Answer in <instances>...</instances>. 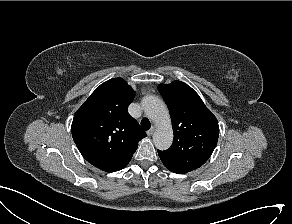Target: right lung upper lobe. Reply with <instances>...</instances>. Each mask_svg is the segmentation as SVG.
Listing matches in <instances>:
<instances>
[{"label": "right lung upper lobe", "mask_w": 292, "mask_h": 224, "mask_svg": "<svg viewBox=\"0 0 292 224\" xmlns=\"http://www.w3.org/2000/svg\"><path fill=\"white\" fill-rule=\"evenodd\" d=\"M135 92L122 78L101 84L75 113L72 137L93 166L115 171L126 166L146 133L127 112Z\"/></svg>", "instance_id": "1"}]
</instances>
